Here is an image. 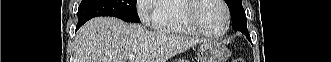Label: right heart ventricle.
I'll list each match as a JSON object with an SVG mask.
<instances>
[{
    "mask_svg": "<svg viewBox=\"0 0 331 62\" xmlns=\"http://www.w3.org/2000/svg\"><path fill=\"white\" fill-rule=\"evenodd\" d=\"M183 0H162L154 12L155 27L165 33L197 35L184 18Z\"/></svg>",
    "mask_w": 331,
    "mask_h": 62,
    "instance_id": "obj_1",
    "label": "right heart ventricle"
}]
</instances>
